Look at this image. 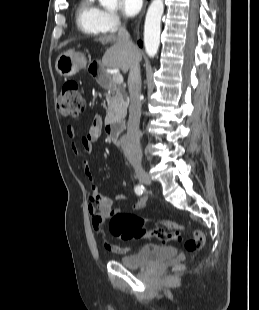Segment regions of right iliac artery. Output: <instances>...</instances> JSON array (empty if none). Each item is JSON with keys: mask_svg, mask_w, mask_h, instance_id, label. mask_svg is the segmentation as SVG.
Here are the masks:
<instances>
[{"mask_svg": "<svg viewBox=\"0 0 259 310\" xmlns=\"http://www.w3.org/2000/svg\"><path fill=\"white\" fill-rule=\"evenodd\" d=\"M143 192H144V187H143V185H140V184H138L136 187H135V193L137 194V195H142L143 194Z\"/></svg>", "mask_w": 259, "mask_h": 310, "instance_id": "1", "label": "right iliac artery"}]
</instances>
